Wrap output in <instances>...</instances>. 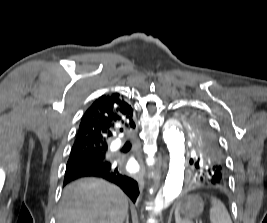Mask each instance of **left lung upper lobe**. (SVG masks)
<instances>
[{"label": "left lung upper lobe", "instance_id": "5c2ea615", "mask_svg": "<svg viewBox=\"0 0 267 223\" xmlns=\"http://www.w3.org/2000/svg\"><path fill=\"white\" fill-rule=\"evenodd\" d=\"M181 118L188 139L196 151L190 161L196 171H227L218 138L208 120L197 112H182Z\"/></svg>", "mask_w": 267, "mask_h": 223}]
</instances>
